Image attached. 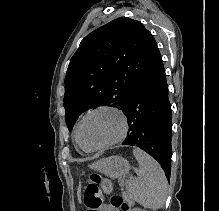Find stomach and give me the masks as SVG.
I'll use <instances>...</instances> for the list:
<instances>
[{"mask_svg": "<svg viewBox=\"0 0 219 211\" xmlns=\"http://www.w3.org/2000/svg\"><path fill=\"white\" fill-rule=\"evenodd\" d=\"M89 167L111 178H122L130 170L129 162L121 156L103 158L89 165Z\"/></svg>", "mask_w": 219, "mask_h": 211, "instance_id": "obj_1", "label": "stomach"}]
</instances>
